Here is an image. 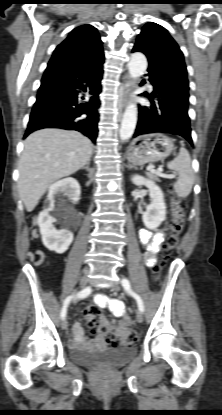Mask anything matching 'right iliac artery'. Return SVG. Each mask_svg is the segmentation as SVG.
Masks as SVG:
<instances>
[{"label": "right iliac artery", "mask_w": 222, "mask_h": 415, "mask_svg": "<svg viewBox=\"0 0 222 415\" xmlns=\"http://www.w3.org/2000/svg\"><path fill=\"white\" fill-rule=\"evenodd\" d=\"M90 293H91V287H86L84 290H82V291L78 292L77 294H73V295L68 296V297L64 300V303H63V307H62V310H61V318H62V319H64V318L66 317V314H67V307H68V305L70 304V302H71V300H72L73 298H75V297H78V298H85V297H87Z\"/></svg>", "instance_id": "1"}]
</instances>
